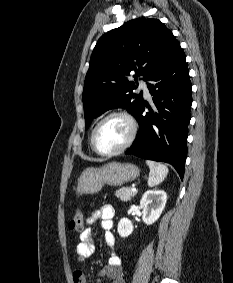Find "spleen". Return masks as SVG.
<instances>
[{"label": "spleen", "instance_id": "obj_1", "mask_svg": "<svg viewBox=\"0 0 233 283\" xmlns=\"http://www.w3.org/2000/svg\"><path fill=\"white\" fill-rule=\"evenodd\" d=\"M146 164L150 169L147 182L148 186L154 187L163 182L168 174L167 166L158 162H154L152 160H146Z\"/></svg>", "mask_w": 233, "mask_h": 283}]
</instances>
